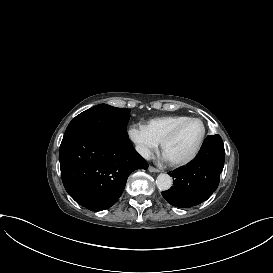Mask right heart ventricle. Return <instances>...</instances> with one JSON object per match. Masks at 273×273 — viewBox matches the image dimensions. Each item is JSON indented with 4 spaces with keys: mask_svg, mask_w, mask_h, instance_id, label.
<instances>
[{
    "mask_svg": "<svg viewBox=\"0 0 273 273\" xmlns=\"http://www.w3.org/2000/svg\"><path fill=\"white\" fill-rule=\"evenodd\" d=\"M187 115L164 116L151 119L146 124L150 136L159 143L164 136L179 122L187 119Z\"/></svg>",
    "mask_w": 273,
    "mask_h": 273,
    "instance_id": "obj_1",
    "label": "right heart ventricle"
}]
</instances>
